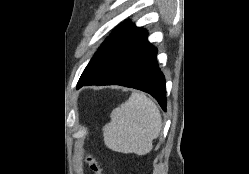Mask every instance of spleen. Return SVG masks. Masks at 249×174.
I'll return each instance as SVG.
<instances>
[{"label":"spleen","instance_id":"spleen-1","mask_svg":"<svg viewBox=\"0 0 249 174\" xmlns=\"http://www.w3.org/2000/svg\"><path fill=\"white\" fill-rule=\"evenodd\" d=\"M162 118L156 104L146 95L133 92L114 109L102 131L105 145L116 152L145 155L161 131Z\"/></svg>","mask_w":249,"mask_h":174}]
</instances>
